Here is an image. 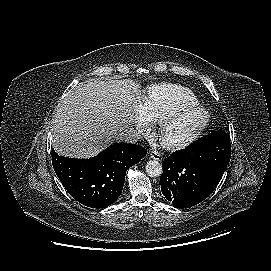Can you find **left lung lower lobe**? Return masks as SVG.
<instances>
[{"label": "left lung lower lobe", "instance_id": "1", "mask_svg": "<svg viewBox=\"0 0 271 271\" xmlns=\"http://www.w3.org/2000/svg\"><path fill=\"white\" fill-rule=\"evenodd\" d=\"M224 134L214 131L189 147L178 150L163 162L161 192L177 208H189L205 200L219 184L224 171L199 160L192 150L196 143H214Z\"/></svg>", "mask_w": 271, "mask_h": 271}]
</instances>
